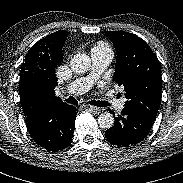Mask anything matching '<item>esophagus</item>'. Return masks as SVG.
<instances>
[{
  "instance_id": "1",
  "label": "esophagus",
  "mask_w": 183,
  "mask_h": 183,
  "mask_svg": "<svg viewBox=\"0 0 183 183\" xmlns=\"http://www.w3.org/2000/svg\"><path fill=\"white\" fill-rule=\"evenodd\" d=\"M84 107H85L87 110H89V111H91V112H93V113H95V114H97V113H99V112L101 111L100 108L95 107V106H91V105H85Z\"/></svg>"
}]
</instances>
